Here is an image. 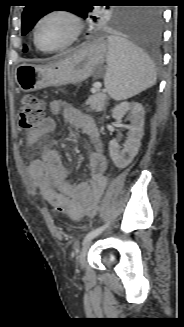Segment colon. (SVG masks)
Instances as JSON below:
<instances>
[{
  "label": "colon",
  "instance_id": "5ec220e1",
  "mask_svg": "<svg viewBox=\"0 0 184 327\" xmlns=\"http://www.w3.org/2000/svg\"><path fill=\"white\" fill-rule=\"evenodd\" d=\"M44 104L35 96H25L19 104L18 121L20 128L25 132L34 130L37 125L43 120ZM55 212H62V207H53ZM97 205L90 206L85 210L87 217H94L97 214Z\"/></svg>",
  "mask_w": 184,
  "mask_h": 327
}]
</instances>
